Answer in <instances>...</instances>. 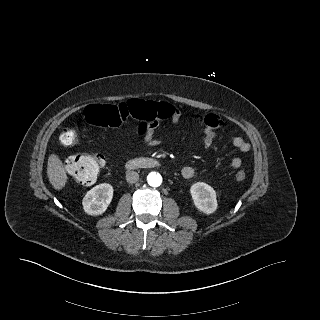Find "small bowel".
Returning <instances> with one entry per match:
<instances>
[{
	"label": "small bowel",
	"mask_w": 320,
	"mask_h": 320,
	"mask_svg": "<svg viewBox=\"0 0 320 320\" xmlns=\"http://www.w3.org/2000/svg\"><path fill=\"white\" fill-rule=\"evenodd\" d=\"M171 106V105H170ZM172 112L169 116L173 123H177L181 117V112L174 106H171ZM192 121L198 122L203 127V144L206 147L211 146L217 137V128L221 125V120L213 115L203 116L199 113L193 112L188 115ZM158 123L139 122L137 132L145 146H156L160 143V139L156 137V130ZM233 146L241 153H247L251 146L241 137L233 139ZM230 165L233 169H238L242 165V160L239 157H234ZM181 174L184 178H191L195 174V169L192 166H185Z\"/></svg>",
	"instance_id": "obj_1"
}]
</instances>
